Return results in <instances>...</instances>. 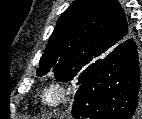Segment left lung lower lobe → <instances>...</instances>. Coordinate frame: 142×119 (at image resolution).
Returning <instances> with one entry per match:
<instances>
[{"label": "left lung lower lobe", "instance_id": "obj_1", "mask_svg": "<svg viewBox=\"0 0 142 119\" xmlns=\"http://www.w3.org/2000/svg\"><path fill=\"white\" fill-rule=\"evenodd\" d=\"M140 69L135 42L117 45L79 86L75 119H140Z\"/></svg>", "mask_w": 142, "mask_h": 119}]
</instances>
